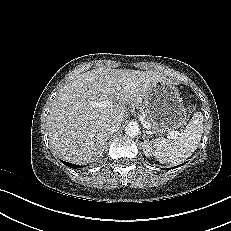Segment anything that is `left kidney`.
<instances>
[{"label": "left kidney", "mask_w": 231, "mask_h": 231, "mask_svg": "<svg viewBox=\"0 0 231 231\" xmlns=\"http://www.w3.org/2000/svg\"><path fill=\"white\" fill-rule=\"evenodd\" d=\"M151 147L152 146H151L150 143H148V141L145 140L143 142L142 149H143V152H144V154H145L146 157H150L152 155L151 154V152H152V148Z\"/></svg>", "instance_id": "obj_1"}]
</instances>
